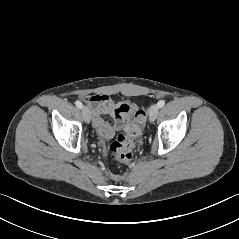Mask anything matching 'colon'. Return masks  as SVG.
Returning a JSON list of instances; mask_svg holds the SVG:
<instances>
[{"label":"colon","mask_w":239,"mask_h":239,"mask_svg":"<svg viewBox=\"0 0 239 239\" xmlns=\"http://www.w3.org/2000/svg\"><path fill=\"white\" fill-rule=\"evenodd\" d=\"M145 122V112L138 111L134 120L126 125L124 132L111 144L110 152L112 159L119 162H128L133 150L142 134V126Z\"/></svg>","instance_id":"1"}]
</instances>
